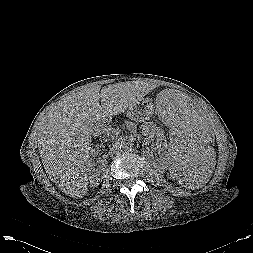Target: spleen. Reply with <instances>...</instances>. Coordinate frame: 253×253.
<instances>
[{
    "instance_id": "1",
    "label": "spleen",
    "mask_w": 253,
    "mask_h": 253,
    "mask_svg": "<svg viewBox=\"0 0 253 253\" xmlns=\"http://www.w3.org/2000/svg\"><path fill=\"white\" fill-rule=\"evenodd\" d=\"M153 106L170 127L169 154L175 180L184 187L201 185L215 158V139L201 112L183 93L170 89L159 92Z\"/></svg>"
}]
</instances>
